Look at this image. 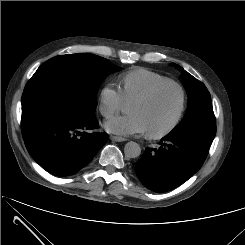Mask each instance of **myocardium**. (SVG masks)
<instances>
[{"instance_id": "1", "label": "myocardium", "mask_w": 245, "mask_h": 245, "mask_svg": "<svg viewBox=\"0 0 245 245\" xmlns=\"http://www.w3.org/2000/svg\"><path fill=\"white\" fill-rule=\"evenodd\" d=\"M170 88L175 89L179 93L180 102H179L178 110L171 123L165 128L159 131H146L147 136L151 139H160L169 135L177 128V126L181 122L186 109V92L184 88L176 82L163 83L152 87L149 91H147L143 95L136 97L135 99L130 101V102H137V103L149 102L152 99H154L159 93Z\"/></svg>"}]
</instances>
